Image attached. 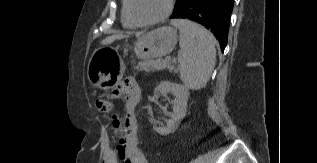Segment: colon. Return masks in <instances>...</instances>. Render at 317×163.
<instances>
[{
	"label": "colon",
	"mask_w": 317,
	"mask_h": 163,
	"mask_svg": "<svg viewBox=\"0 0 317 163\" xmlns=\"http://www.w3.org/2000/svg\"><path fill=\"white\" fill-rule=\"evenodd\" d=\"M96 106L101 111H109L111 109V103L103 98L96 100ZM113 123L116 128L120 126L119 117L117 115H113Z\"/></svg>",
	"instance_id": "5ec220e1"
}]
</instances>
